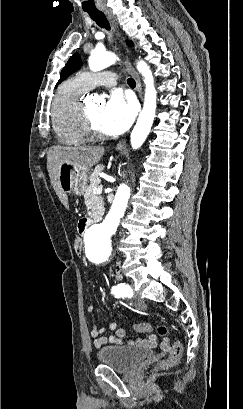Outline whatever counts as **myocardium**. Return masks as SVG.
Wrapping results in <instances>:
<instances>
[{"label":"myocardium","instance_id":"myocardium-1","mask_svg":"<svg viewBox=\"0 0 243 409\" xmlns=\"http://www.w3.org/2000/svg\"><path fill=\"white\" fill-rule=\"evenodd\" d=\"M82 118H83V123L85 130L88 134V136L92 138H98L100 137V131L95 127L94 123L92 122L89 113L87 111V107L83 105L82 108Z\"/></svg>","mask_w":243,"mask_h":409}]
</instances>
